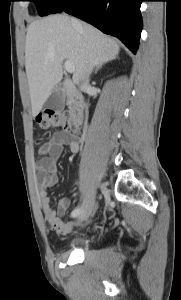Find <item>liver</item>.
Wrapping results in <instances>:
<instances>
[{
	"label": "liver",
	"instance_id": "1",
	"mask_svg": "<svg viewBox=\"0 0 181 300\" xmlns=\"http://www.w3.org/2000/svg\"><path fill=\"white\" fill-rule=\"evenodd\" d=\"M119 51L115 39L85 22L73 24L66 15H51L32 22L26 34L25 68L33 117L60 83L64 60L75 67L73 79L64 82L65 97L87 78L89 67L92 70L115 59Z\"/></svg>",
	"mask_w": 181,
	"mask_h": 300
}]
</instances>
